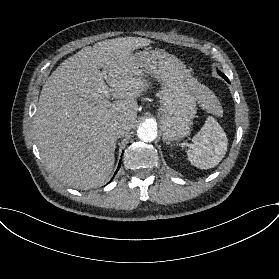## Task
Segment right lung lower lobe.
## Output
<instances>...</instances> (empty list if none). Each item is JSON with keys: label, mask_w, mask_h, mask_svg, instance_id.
<instances>
[{"label": "right lung lower lobe", "mask_w": 279, "mask_h": 279, "mask_svg": "<svg viewBox=\"0 0 279 279\" xmlns=\"http://www.w3.org/2000/svg\"><path fill=\"white\" fill-rule=\"evenodd\" d=\"M120 164H121V162H120ZM120 164H119V166H118V168H117L116 172L118 171V169H119V167H120ZM116 172H115V174H116ZM115 174H114V176H115ZM112 179H113V178H112Z\"/></svg>", "instance_id": "1"}]
</instances>
